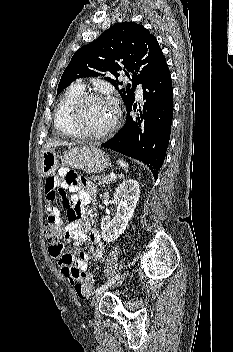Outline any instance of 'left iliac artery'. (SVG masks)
Returning a JSON list of instances; mask_svg holds the SVG:
<instances>
[{
  "instance_id": "obj_1",
  "label": "left iliac artery",
  "mask_w": 233,
  "mask_h": 352,
  "mask_svg": "<svg viewBox=\"0 0 233 352\" xmlns=\"http://www.w3.org/2000/svg\"><path fill=\"white\" fill-rule=\"evenodd\" d=\"M118 277H119V274H117L116 276H114L108 283H106V284L100 286V287L95 291V293L97 294V293H100V292L105 291L109 286H111L112 284L115 283V281L118 279Z\"/></svg>"
}]
</instances>
